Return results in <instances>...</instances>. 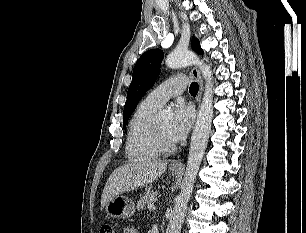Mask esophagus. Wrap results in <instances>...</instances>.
<instances>
[{"label":"esophagus","instance_id":"obj_1","mask_svg":"<svg viewBox=\"0 0 306 233\" xmlns=\"http://www.w3.org/2000/svg\"><path fill=\"white\" fill-rule=\"evenodd\" d=\"M191 73L197 79L198 84H199V91L197 95V102L199 105L201 101L202 92H203V79H202L199 69L196 66H193L191 68ZM182 166L183 165L179 160H176L170 164L171 168H181Z\"/></svg>","mask_w":306,"mask_h":233}]
</instances>
